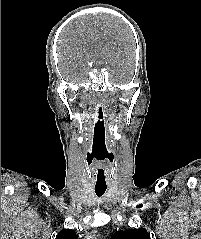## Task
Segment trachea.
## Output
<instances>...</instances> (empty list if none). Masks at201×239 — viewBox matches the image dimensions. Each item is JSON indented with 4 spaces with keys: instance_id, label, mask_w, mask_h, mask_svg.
<instances>
[{
    "instance_id": "obj_1",
    "label": "trachea",
    "mask_w": 201,
    "mask_h": 239,
    "mask_svg": "<svg viewBox=\"0 0 201 239\" xmlns=\"http://www.w3.org/2000/svg\"><path fill=\"white\" fill-rule=\"evenodd\" d=\"M106 186H95V192L98 197L102 196L106 191Z\"/></svg>"
}]
</instances>
